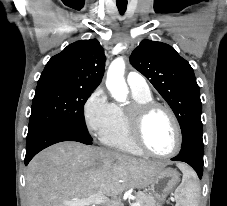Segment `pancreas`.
Returning <instances> with one entry per match:
<instances>
[{
  "instance_id": "cf45deb5",
  "label": "pancreas",
  "mask_w": 227,
  "mask_h": 206,
  "mask_svg": "<svg viewBox=\"0 0 227 206\" xmlns=\"http://www.w3.org/2000/svg\"><path fill=\"white\" fill-rule=\"evenodd\" d=\"M136 202L140 203V206H159L151 194L142 191L137 193Z\"/></svg>"
}]
</instances>
